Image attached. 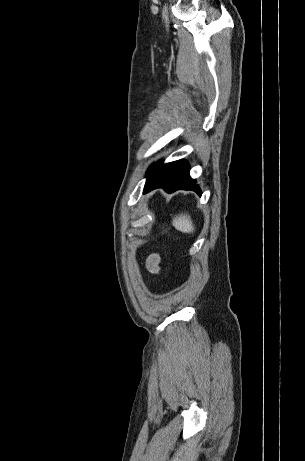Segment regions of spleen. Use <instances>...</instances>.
I'll use <instances>...</instances> for the list:
<instances>
[{
  "label": "spleen",
  "instance_id": "3e777b00",
  "mask_svg": "<svg viewBox=\"0 0 305 461\" xmlns=\"http://www.w3.org/2000/svg\"><path fill=\"white\" fill-rule=\"evenodd\" d=\"M172 225L183 233H192L194 226L188 214H180L173 218Z\"/></svg>",
  "mask_w": 305,
  "mask_h": 461
}]
</instances>
